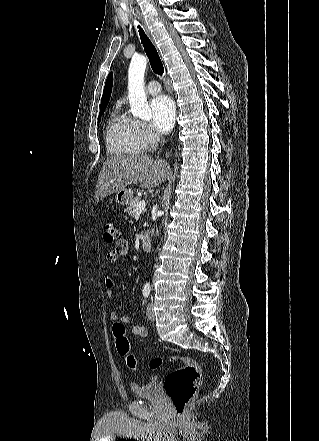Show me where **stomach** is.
<instances>
[{
    "instance_id": "stomach-1",
    "label": "stomach",
    "mask_w": 319,
    "mask_h": 441,
    "mask_svg": "<svg viewBox=\"0 0 319 441\" xmlns=\"http://www.w3.org/2000/svg\"><path fill=\"white\" fill-rule=\"evenodd\" d=\"M115 198L119 205H127L132 201L133 193L131 189H122L116 193Z\"/></svg>"
}]
</instances>
